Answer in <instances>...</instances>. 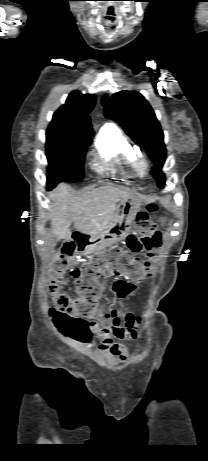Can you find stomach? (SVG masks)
<instances>
[{
    "label": "stomach",
    "instance_id": "0dacf381",
    "mask_svg": "<svg viewBox=\"0 0 208 461\" xmlns=\"http://www.w3.org/2000/svg\"><path fill=\"white\" fill-rule=\"evenodd\" d=\"M140 205L131 198H121L114 219L102 233L91 236L84 253H91L124 240L135 223Z\"/></svg>",
    "mask_w": 208,
    "mask_h": 461
}]
</instances>
